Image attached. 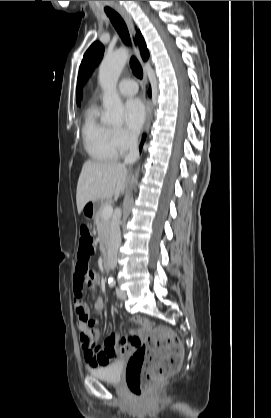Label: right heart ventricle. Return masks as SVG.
Here are the masks:
<instances>
[{"mask_svg":"<svg viewBox=\"0 0 271 418\" xmlns=\"http://www.w3.org/2000/svg\"><path fill=\"white\" fill-rule=\"evenodd\" d=\"M112 128L100 120L96 107L88 109L82 128L83 145L96 161H111L118 157L112 140Z\"/></svg>","mask_w":271,"mask_h":418,"instance_id":"e07e8e85","label":"right heart ventricle"}]
</instances>
